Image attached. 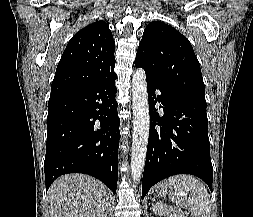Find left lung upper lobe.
<instances>
[{"mask_svg":"<svg viewBox=\"0 0 253 217\" xmlns=\"http://www.w3.org/2000/svg\"><path fill=\"white\" fill-rule=\"evenodd\" d=\"M135 63L160 84L205 100V86L197 57L189 40L160 21L147 25Z\"/></svg>","mask_w":253,"mask_h":217,"instance_id":"5c2ea615","label":"left lung upper lobe"}]
</instances>
